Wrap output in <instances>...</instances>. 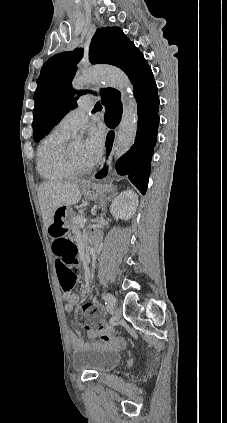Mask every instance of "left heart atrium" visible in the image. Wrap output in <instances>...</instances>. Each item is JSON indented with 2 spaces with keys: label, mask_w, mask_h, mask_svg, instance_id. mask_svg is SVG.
<instances>
[{
  "label": "left heart atrium",
  "mask_w": 227,
  "mask_h": 423,
  "mask_svg": "<svg viewBox=\"0 0 227 423\" xmlns=\"http://www.w3.org/2000/svg\"><path fill=\"white\" fill-rule=\"evenodd\" d=\"M106 142V131L102 127H92L84 143V159L88 166H93L101 158Z\"/></svg>",
  "instance_id": "obj_1"
}]
</instances>
